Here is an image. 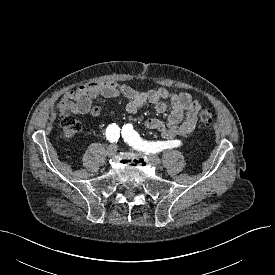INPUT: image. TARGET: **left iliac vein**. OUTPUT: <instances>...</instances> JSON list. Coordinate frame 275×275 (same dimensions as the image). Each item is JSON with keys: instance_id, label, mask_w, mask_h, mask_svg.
<instances>
[{"instance_id": "obj_1", "label": "left iliac vein", "mask_w": 275, "mask_h": 275, "mask_svg": "<svg viewBox=\"0 0 275 275\" xmlns=\"http://www.w3.org/2000/svg\"><path fill=\"white\" fill-rule=\"evenodd\" d=\"M144 152V151H143ZM148 159L154 164V165H160L161 164V160L157 155L154 154H150V153H146Z\"/></svg>"}]
</instances>
